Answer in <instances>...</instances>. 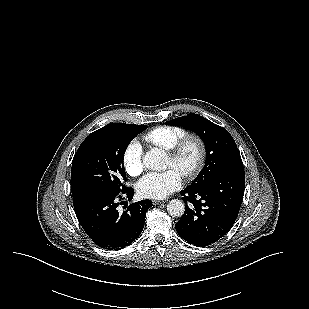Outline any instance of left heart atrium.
I'll use <instances>...</instances> for the list:
<instances>
[{"instance_id":"obj_1","label":"left heart atrium","mask_w":309,"mask_h":309,"mask_svg":"<svg viewBox=\"0 0 309 309\" xmlns=\"http://www.w3.org/2000/svg\"><path fill=\"white\" fill-rule=\"evenodd\" d=\"M182 185V177L175 169L164 172H150L137 183V192L141 197L163 199Z\"/></svg>"}]
</instances>
